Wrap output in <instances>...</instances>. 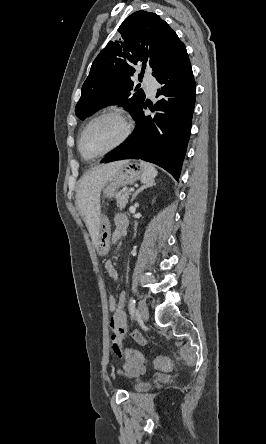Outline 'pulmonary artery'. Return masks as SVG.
<instances>
[{"instance_id": "1", "label": "pulmonary artery", "mask_w": 266, "mask_h": 444, "mask_svg": "<svg viewBox=\"0 0 266 444\" xmlns=\"http://www.w3.org/2000/svg\"><path fill=\"white\" fill-rule=\"evenodd\" d=\"M143 85L146 89L147 94L151 97L154 96L157 86L156 80L149 75H145L143 79Z\"/></svg>"}]
</instances>
